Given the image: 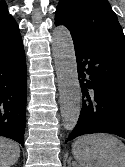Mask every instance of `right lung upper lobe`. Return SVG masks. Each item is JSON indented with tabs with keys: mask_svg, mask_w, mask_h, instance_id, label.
Here are the masks:
<instances>
[{
	"mask_svg": "<svg viewBox=\"0 0 125 167\" xmlns=\"http://www.w3.org/2000/svg\"><path fill=\"white\" fill-rule=\"evenodd\" d=\"M18 25L16 24L13 17L8 14L6 2L0 1V34L17 30Z\"/></svg>",
	"mask_w": 125,
	"mask_h": 167,
	"instance_id": "right-lung-upper-lobe-1",
	"label": "right lung upper lobe"
}]
</instances>
